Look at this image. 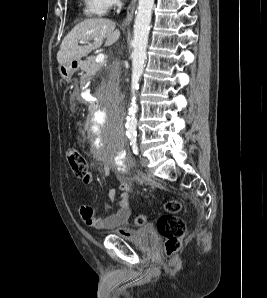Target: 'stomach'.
Masks as SVG:
<instances>
[{
	"label": "stomach",
	"mask_w": 267,
	"mask_h": 298,
	"mask_svg": "<svg viewBox=\"0 0 267 298\" xmlns=\"http://www.w3.org/2000/svg\"><path fill=\"white\" fill-rule=\"evenodd\" d=\"M81 66L80 60H73L71 62L65 63L59 66V73L61 77L69 81L73 75V73Z\"/></svg>",
	"instance_id": "0dacf381"
}]
</instances>
